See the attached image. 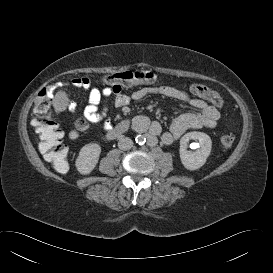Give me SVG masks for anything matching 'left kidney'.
Here are the masks:
<instances>
[{
    "mask_svg": "<svg viewBox=\"0 0 273 273\" xmlns=\"http://www.w3.org/2000/svg\"><path fill=\"white\" fill-rule=\"evenodd\" d=\"M190 140H198V149L188 151V143ZM212 148L211 138L203 132H189L180 139V159L184 167L188 170H196L202 167Z\"/></svg>",
    "mask_w": 273,
    "mask_h": 273,
    "instance_id": "left-kidney-1",
    "label": "left kidney"
}]
</instances>
